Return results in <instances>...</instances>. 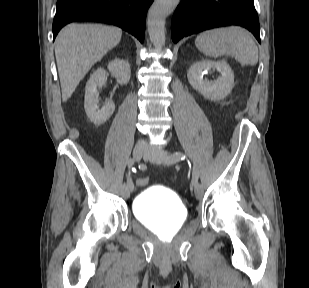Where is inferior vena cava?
Masks as SVG:
<instances>
[{"label": "inferior vena cava", "mask_w": 309, "mask_h": 288, "mask_svg": "<svg viewBox=\"0 0 309 288\" xmlns=\"http://www.w3.org/2000/svg\"><path fill=\"white\" fill-rule=\"evenodd\" d=\"M141 143H142V144H144V143H145V141H141Z\"/></svg>", "instance_id": "obj_1"}]
</instances>
